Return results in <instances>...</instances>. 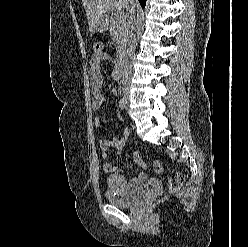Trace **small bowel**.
<instances>
[{
	"mask_svg": "<svg viewBox=\"0 0 248 247\" xmlns=\"http://www.w3.org/2000/svg\"><path fill=\"white\" fill-rule=\"evenodd\" d=\"M104 60H111V57L103 51L93 52L90 62H89V73H90V88L93 95V100L91 102V108L93 111H97L101 108L104 102V94L102 92V86L104 82V77L101 72L100 62ZM116 74V71H114ZM118 120H122L121 116H117ZM94 124L99 127L102 125V119L100 117L94 118ZM129 136L128 128H124L119 137L112 139L101 140L99 146L103 152L109 149H120L124 146L127 138ZM104 169L107 172H113L116 167L111 163L106 162ZM125 187H135L140 185L146 180L145 173H139L137 176L131 178L130 180H125L122 177Z\"/></svg>",
	"mask_w": 248,
	"mask_h": 247,
	"instance_id": "1",
	"label": "small bowel"
}]
</instances>
